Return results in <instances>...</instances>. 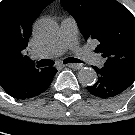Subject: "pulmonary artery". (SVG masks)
Segmentation results:
<instances>
[{"instance_id": "pulmonary-artery-1", "label": "pulmonary artery", "mask_w": 135, "mask_h": 135, "mask_svg": "<svg viewBox=\"0 0 135 135\" xmlns=\"http://www.w3.org/2000/svg\"><path fill=\"white\" fill-rule=\"evenodd\" d=\"M78 29L76 20L73 17H65L60 25V37L58 41L43 50L32 55L35 59H51L62 55L70 50L77 57L94 65H101L103 59L93 51L83 48L78 41Z\"/></svg>"}]
</instances>
